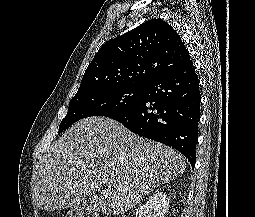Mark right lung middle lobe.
I'll return each instance as SVG.
<instances>
[{"label":"right lung middle lobe","instance_id":"right-lung-middle-lobe-1","mask_svg":"<svg viewBox=\"0 0 255 217\" xmlns=\"http://www.w3.org/2000/svg\"><path fill=\"white\" fill-rule=\"evenodd\" d=\"M146 86H106L78 91L71 99L68 113L59 126V133L80 119L107 116L125 110L139 101Z\"/></svg>","mask_w":255,"mask_h":217}]
</instances>
